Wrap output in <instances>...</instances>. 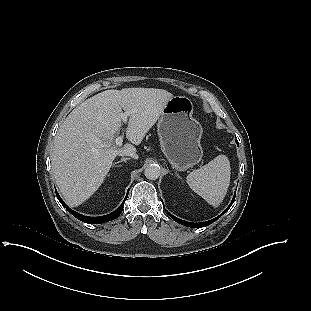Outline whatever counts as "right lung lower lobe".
<instances>
[{
	"label": "right lung lower lobe",
	"mask_w": 311,
	"mask_h": 311,
	"mask_svg": "<svg viewBox=\"0 0 311 311\" xmlns=\"http://www.w3.org/2000/svg\"><path fill=\"white\" fill-rule=\"evenodd\" d=\"M57 194V198L59 199L60 203L73 215L75 216L77 219L85 222V223H88V224H100V223H104V222H108V221H111V220H114L116 219L117 217H119V215L121 214L122 210H123V207H124V203L128 197V192H127V195L123 201V203L120 205V207L115 210L114 212L108 214V215H105V216H100V217H88V216H84V215H81V214H78L77 212L73 211L72 209H70L64 202L63 200L61 199V197L59 196V194L56 192Z\"/></svg>",
	"instance_id": "1"
}]
</instances>
